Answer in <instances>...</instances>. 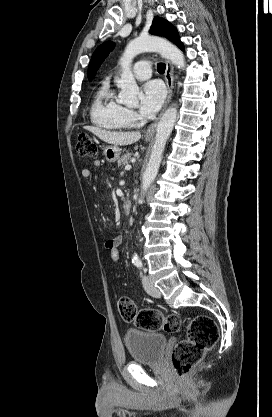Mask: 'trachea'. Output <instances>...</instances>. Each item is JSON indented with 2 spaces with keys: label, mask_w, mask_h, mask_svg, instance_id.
<instances>
[{
  "label": "trachea",
  "mask_w": 272,
  "mask_h": 417,
  "mask_svg": "<svg viewBox=\"0 0 272 417\" xmlns=\"http://www.w3.org/2000/svg\"><path fill=\"white\" fill-rule=\"evenodd\" d=\"M165 68H166V66H165L164 63H159L157 65V70H158L159 73H164L165 72Z\"/></svg>",
  "instance_id": "1"
}]
</instances>
